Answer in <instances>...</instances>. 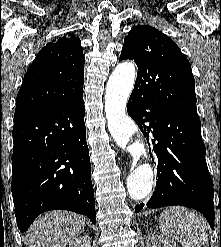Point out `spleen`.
<instances>
[{
	"instance_id": "spleen-1",
	"label": "spleen",
	"mask_w": 221,
	"mask_h": 247,
	"mask_svg": "<svg viewBox=\"0 0 221 247\" xmlns=\"http://www.w3.org/2000/svg\"><path fill=\"white\" fill-rule=\"evenodd\" d=\"M205 220L184 207H170L160 215L162 235L182 247H207Z\"/></svg>"
}]
</instances>
